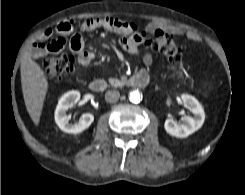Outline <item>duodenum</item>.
<instances>
[{"mask_svg": "<svg viewBox=\"0 0 245 195\" xmlns=\"http://www.w3.org/2000/svg\"><path fill=\"white\" fill-rule=\"evenodd\" d=\"M149 84V76L145 71H139L134 74L128 81L127 86L144 88ZM89 87L94 92H103L109 85L106 81L96 79L90 82Z\"/></svg>", "mask_w": 245, "mask_h": 195, "instance_id": "410a0bca", "label": "duodenum"}]
</instances>
